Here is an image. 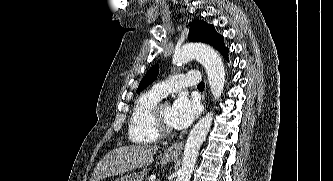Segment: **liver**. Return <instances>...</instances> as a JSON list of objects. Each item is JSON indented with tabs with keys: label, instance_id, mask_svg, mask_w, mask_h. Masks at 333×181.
<instances>
[{
	"label": "liver",
	"instance_id": "obj_1",
	"mask_svg": "<svg viewBox=\"0 0 333 181\" xmlns=\"http://www.w3.org/2000/svg\"><path fill=\"white\" fill-rule=\"evenodd\" d=\"M157 146L130 145L107 153L97 164L90 181H100L109 176H118L136 168L147 167L154 161Z\"/></svg>",
	"mask_w": 333,
	"mask_h": 181
}]
</instances>
